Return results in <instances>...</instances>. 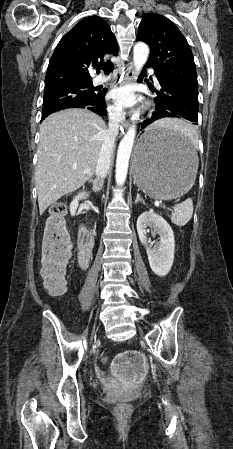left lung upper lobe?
Instances as JSON below:
<instances>
[{
  "label": "left lung upper lobe",
  "mask_w": 233,
  "mask_h": 449,
  "mask_svg": "<svg viewBox=\"0 0 233 449\" xmlns=\"http://www.w3.org/2000/svg\"><path fill=\"white\" fill-rule=\"evenodd\" d=\"M137 39L147 43V66L163 78L198 95L196 67L189 44L168 18L147 13L141 20Z\"/></svg>",
  "instance_id": "5c2ea615"
}]
</instances>
